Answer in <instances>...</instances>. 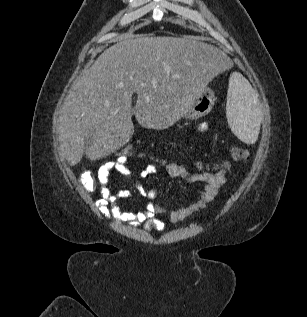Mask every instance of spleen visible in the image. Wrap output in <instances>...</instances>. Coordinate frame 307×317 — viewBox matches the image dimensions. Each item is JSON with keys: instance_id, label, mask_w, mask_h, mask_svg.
<instances>
[{"instance_id": "3e777b00", "label": "spleen", "mask_w": 307, "mask_h": 317, "mask_svg": "<svg viewBox=\"0 0 307 317\" xmlns=\"http://www.w3.org/2000/svg\"><path fill=\"white\" fill-rule=\"evenodd\" d=\"M226 116L232 132L242 142H256L262 120L255 91L248 81L233 73L229 81Z\"/></svg>"}]
</instances>
